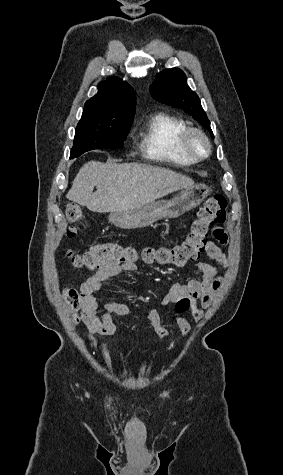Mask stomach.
Returning <instances> with one entry per match:
<instances>
[{
  "mask_svg": "<svg viewBox=\"0 0 283 475\" xmlns=\"http://www.w3.org/2000/svg\"><path fill=\"white\" fill-rule=\"evenodd\" d=\"M209 194L208 186L195 184L181 190L172 200H159V202H152L142 208L125 210V212H110L108 220L118 228H145L163 218L182 216L185 212L199 206Z\"/></svg>",
  "mask_w": 283,
  "mask_h": 475,
  "instance_id": "stomach-1",
  "label": "stomach"
}]
</instances>
